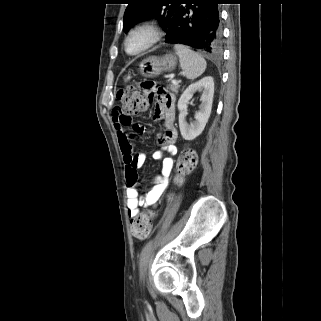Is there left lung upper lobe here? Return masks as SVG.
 <instances>
[{
  "label": "left lung upper lobe",
  "instance_id": "5c2ea615",
  "mask_svg": "<svg viewBox=\"0 0 321 321\" xmlns=\"http://www.w3.org/2000/svg\"><path fill=\"white\" fill-rule=\"evenodd\" d=\"M181 0H128L124 13L123 27L127 32L137 23L147 19H157L164 31L179 6Z\"/></svg>",
  "mask_w": 321,
  "mask_h": 321
}]
</instances>
